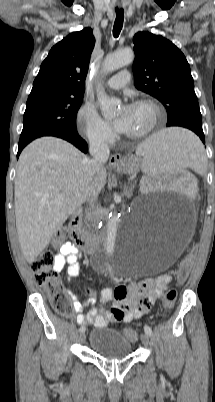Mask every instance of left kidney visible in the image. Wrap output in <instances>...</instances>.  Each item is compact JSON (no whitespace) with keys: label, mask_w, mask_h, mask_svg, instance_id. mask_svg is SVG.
<instances>
[{"label":"left kidney","mask_w":215,"mask_h":402,"mask_svg":"<svg viewBox=\"0 0 215 402\" xmlns=\"http://www.w3.org/2000/svg\"><path fill=\"white\" fill-rule=\"evenodd\" d=\"M147 178L142 179V186L147 187V191H152V187H165L168 193H197L198 185L193 173L188 170L171 169H148L145 172ZM172 184V185H171Z\"/></svg>","instance_id":"left-kidney-1"}]
</instances>
